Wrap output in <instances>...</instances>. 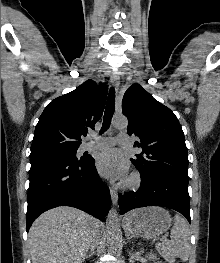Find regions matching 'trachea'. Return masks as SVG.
<instances>
[{
    "label": "trachea",
    "instance_id": "trachea-1",
    "mask_svg": "<svg viewBox=\"0 0 220 263\" xmlns=\"http://www.w3.org/2000/svg\"><path fill=\"white\" fill-rule=\"evenodd\" d=\"M115 110V90L113 87L110 88L109 95L106 102L104 117H103V125L100 133L105 132L111 124V119L113 117Z\"/></svg>",
    "mask_w": 220,
    "mask_h": 263
}]
</instances>
